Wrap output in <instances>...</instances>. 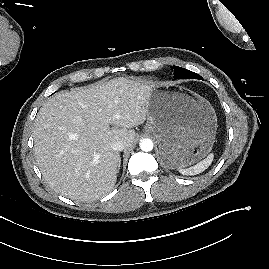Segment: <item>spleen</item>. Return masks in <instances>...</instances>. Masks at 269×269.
<instances>
[{"mask_svg": "<svg viewBox=\"0 0 269 269\" xmlns=\"http://www.w3.org/2000/svg\"><path fill=\"white\" fill-rule=\"evenodd\" d=\"M214 154L210 153L205 159L189 168L180 167L179 172L183 175H196L205 171L212 163Z\"/></svg>", "mask_w": 269, "mask_h": 269, "instance_id": "obj_1", "label": "spleen"}]
</instances>
